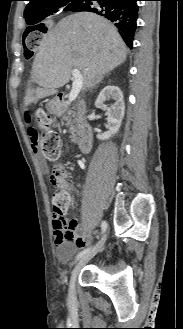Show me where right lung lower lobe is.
Masks as SVG:
<instances>
[{
  "label": "right lung lower lobe",
  "instance_id": "obj_1",
  "mask_svg": "<svg viewBox=\"0 0 183 329\" xmlns=\"http://www.w3.org/2000/svg\"><path fill=\"white\" fill-rule=\"evenodd\" d=\"M138 0H82L71 11L94 12L109 19L120 30L128 47L132 48L137 27Z\"/></svg>",
  "mask_w": 183,
  "mask_h": 329
}]
</instances>
